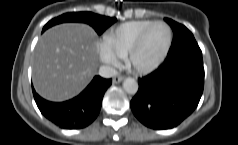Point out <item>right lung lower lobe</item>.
Returning a JSON list of instances; mask_svg holds the SVG:
<instances>
[{"instance_id": "1", "label": "right lung lower lobe", "mask_w": 238, "mask_h": 145, "mask_svg": "<svg viewBox=\"0 0 238 145\" xmlns=\"http://www.w3.org/2000/svg\"><path fill=\"white\" fill-rule=\"evenodd\" d=\"M112 79L95 76L86 89L77 97L61 102H49L33 89L36 104L41 113L51 122L64 129H80L91 124L99 114L103 95Z\"/></svg>"}]
</instances>
